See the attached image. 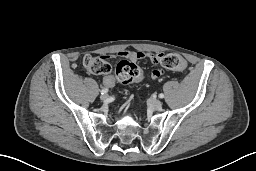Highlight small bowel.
<instances>
[{
    "mask_svg": "<svg viewBox=\"0 0 256 171\" xmlns=\"http://www.w3.org/2000/svg\"><path fill=\"white\" fill-rule=\"evenodd\" d=\"M118 56L121 58L130 59L131 61H139V60H149L154 64H159L162 57L164 56L163 53L152 54L149 52L144 51H121L118 53ZM109 57V56H108ZM186 68V63H184L183 68L179 71H182ZM163 72L161 70H154L150 74V78L152 80H158L162 76ZM116 83L115 77L113 75H106L103 78V84L106 87H113Z\"/></svg>",
    "mask_w": 256,
    "mask_h": 171,
    "instance_id": "obj_1",
    "label": "small bowel"
}]
</instances>
